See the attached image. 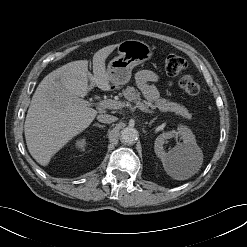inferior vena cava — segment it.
<instances>
[{"instance_id":"inferior-vena-cava-1","label":"inferior vena cava","mask_w":247,"mask_h":247,"mask_svg":"<svg viewBox=\"0 0 247 247\" xmlns=\"http://www.w3.org/2000/svg\"><path fill=\"white\" fill-rule=\"evenodd\" d=\"M97 120L101 123H112L115 122L117 120V118L113 115H109V114H100L97 116Z\"/></svg>"}]
</instances>
